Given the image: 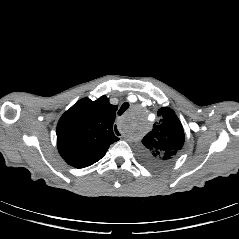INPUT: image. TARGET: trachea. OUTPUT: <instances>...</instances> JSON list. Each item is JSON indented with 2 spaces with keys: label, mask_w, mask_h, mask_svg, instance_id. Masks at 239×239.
<instances>
[{
  "label": "trachea",
  "mask_w": 239,
  "mask_h": 239,
  "mask_svg": "<svg viewBox=\"0 0 239 239\" xmlns=\"http://www.w3.org/2000/svg\"><path fill=\"white\" fill-rule=\"evenodd\" d=\"M129 108L128 103H124L118 111V115H122Z\"/></svg>",
  "instance_id": "trachea-1"
}]
</instances>
